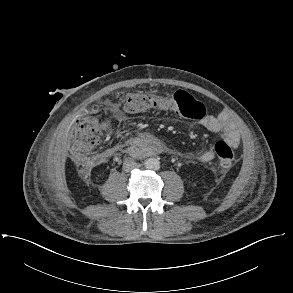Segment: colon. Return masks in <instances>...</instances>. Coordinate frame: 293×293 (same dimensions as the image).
I'll return each instance as SVG.
<instances>
[{
  "label": "colon",
  "instance_id": "colon-1",
  "mask_svg": "<svg viewBox=\"0 0 293 293\" xmlns=\"http://www.w3.org/2000/svg\"><path fill=\"white\" fill-rule=\"evenodd\" d=\"M200 102L196 101L189 93L177 91L174 94L159 99L142 92L130 93L123 105V114L132 115L150 109L171 110L178 112L181 116L188 118H199L197 110ZM104 132V124L89 119L83 122L75 134L73 150L79 157L99 144ZM220 165L224 169H230L235 163V154L232 146L225 141H218L214 147Z\"/></svg>",
  "mask_w": 293,
  "mask_h": 293
}]
</instances>
